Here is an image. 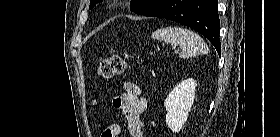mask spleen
Listing matches in <instances>:
<instances>
[{
    "instance_id": "obj_1",
    "label": "spleen",
    "mask_w": 280,
    "mask_h": 137,
    "mask_svg": "<svg viewBox=\"0 0 280 137\" xmlns=\"http://www.w3.org/2000/svg\"><path fill=\"white\" fill-rule=\"evenodd\" d=\"M155 40H163L172 45H178L181 49L180 57L189 58L201 54H207L209 49L205 41L195 32L176 26H168L157 29L151 35Z\"/></svg>"
}]
</instances>
